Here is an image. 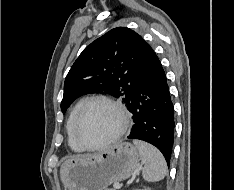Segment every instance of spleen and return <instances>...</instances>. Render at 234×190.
<instances>
[{
  "mask_svg": "<svg viewBox=\"0 0 234 190\" xmlns=\"http://www.w3.org/2000/svg\"><path fill=\"white\" fill-rule=\"evenodd\" d=\"M144 164L142 175L148 182H157L167 174V164L162 153L154 146L140 140H133Z\"/></svg>",
  "mask_w": 234,
  "mask_h": 190,
  "instance_id": "1",
  "label": "spleen"
}]
</instances>
